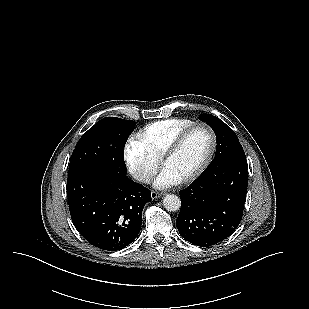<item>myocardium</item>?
<instances>
[{
  "label": "myocardium",
  "mask_w": 309,
  "mask_h": 309,
  "mask_svg": "<svg viewBox=\"0 0 309 309\" xmlns=\"http://www.w3.org/2000/svg\"><path fill=\"white\" fill-rule=\"evenodd\" d=\"M197 127H204L208 130L209 134H210V139H211V144H210V149L205 157V159L203 160V162L189 175L185 176L184 178L179 180V183L185 184V183H189L194 181L195 179H197L204 171L205 169L209 166L213 155L215 153L216 150V145H217V139H216V134L213 130V128L205 123V122H194L191 125H189L188 127H186L185 129H183L173 140L172 142L169 144V146L167 147V149L165 150V152L163 153L160 163L161 166L164 167L165 163L171 158L173 157L176 152L179 150V148L182 146L183 142L185 141V139L187 138V136L189 135V133Z\"/></svg>",
  "instance_id": "obj_1"
}]
</instances>
